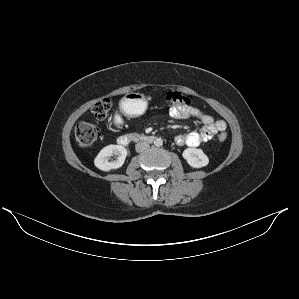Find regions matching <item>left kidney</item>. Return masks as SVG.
I'll return each instance as SVG.
<instances>
[{
  "label": "left kidney",
  "instance_id": "left-kidney-1",
  "mask_svg": "<svg viewBox=\"0 0 299 299\" xmlns=\"http://www.w3.org/2000/svg\"><path fill=\"white\" fill-rule=\"evenodd\" d=\"M182 156L193 168L205 167L209 163L208 157L201 149L187 148L183 151Z\"/></svg>",
  "mask_w": 299,
  "mask_h": 299
}]
</instances>
